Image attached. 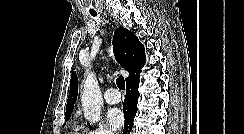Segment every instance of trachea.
I'll list each match as a JSON object with an SVG mask.
<instances>
[{
    "label": "trachea",
    "mask_w": 244,
    "mask_h": 134,
    "mask_svg": "<svg viewBox=\"0 0 244 134\" xmlns=\"http://www.w3.org/2000/svg\"><path fill=\"white\" fill-rule=\"evenodd\" d=\"M92 16H97L96 13H91ZM116 84H117V87L120 89V90H124L125 89V80L123 78V76H120L117 78L116 80Z\"/></svg>",
    "instance_id": "3493384b"
}]
</instances>
